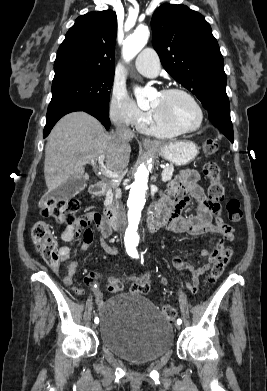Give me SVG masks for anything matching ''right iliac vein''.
I'll return each mask as SVG.
<instances>
[{
	"mask_svg": "<svg viewBox=\"0 0 267 391\" xmlns=\"http://www.w3.org/2000/svg\"><path fill=\"white\" fill-rule=\"evenodd\" d=\"M97 327V324H93V328L95 329Z\"/></svg>",
	"mask_w": 267,
	"mask_h": 391,
	"instance_id": "right-iliac-vein-1",
	"label": "right iliac vein"
}]
</instances>
